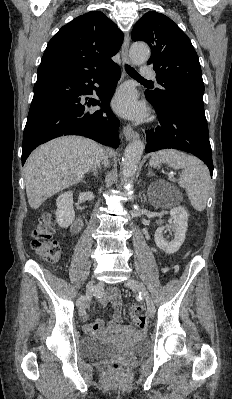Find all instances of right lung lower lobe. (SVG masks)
Listing matches in <instances>:
<instances>
[{"label": "right lung lower lobe", "instance_id": "98d812e1", "mask_svg": "<svg viewBox=\"0 0 232 399\" xmlns=\"http://www.w3.org/2000/svg\"><path fill=\"white\" fill-rule=\"evenodd\" d=\"M121 70L117 64L88 72L40 74L23 133L22 164L40 144L62 135H81L118 148L119 120L110 109ZM94 83L100 87L95 89ZM94 98H82L93 94ZM101 106L90 110V106Z\"/></svg>", "mask_w": 232, "mask_h": 399}]
</instances>
